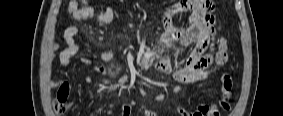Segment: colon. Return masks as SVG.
I'll list each match as a JSON object with an SVG mask.
<instances>
[{
    "label": "colon",
    "mask_w": 283,
    "mask_h": 116,
    "mask_svg": "<svg viewBox=\"0 0 283 116\" xmlns=\"http://www.w3.org/2000/svg\"><path fill=\"white\" fill-rule=\"evenodd\" d=\"M214 62L217 66H223L228 62L227 54V41L221 37L217 41V51L214 56ZM228 83L229 76H225ZM70 105V88L68 85H61L57 91L56 98L53 101V110L56 114H63L67 111ZM230 102L220 103L218 106H212V111L215 113H221V110H229Z\"/></svg>",
    "instance_id": "1"
}]
</instances>
